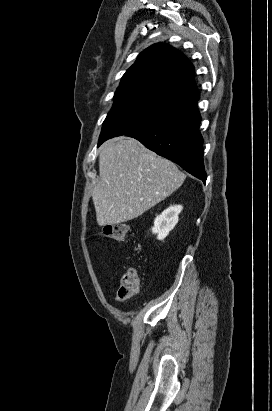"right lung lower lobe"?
<instances>
[{
  "instance_id": "right-lung-lower-lobe-1",
  "label": "right lung lower lobe",
  "mask_w": 272,
  "mask_h": 411,
  "mask_svg": "<svg viewBox=\"0 0 272 411\" xmlns=\"http://www.w3.org/2000/svg\"><path fill=\"white\" fill-rule=\"evenodd\" d=\"M200 121L194 102L125 135L136 138L150 150L172 160L205 183L207 175L203 163ZM111 137H100L99 144Z\"/></svg>"
}]
</instances>
